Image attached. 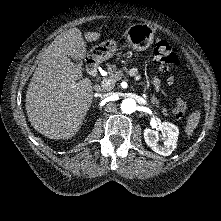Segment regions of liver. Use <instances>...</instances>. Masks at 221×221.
<instances>
[{
    "instance_id": "6515ba94",
    "label": "liver",
    "mask_w": 221,
    "mask_h": 221,
    "mask_svg": "<svg viewBox=\"0 0 221 221\" xmlns=\"http://www.w3.org/2000/svg\"><path fill=\"white\" fill-rule=\"evenodd\" d=\"M87 42L100 39L84 34ZM86 42L78 28L58 35L46 49L29 83L25 107L31 125L50 139H70L80 129L93 99L92 83L81 79L80 67L70 58L86 57Z\"/></svg>"
}]
</instances>
